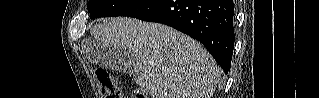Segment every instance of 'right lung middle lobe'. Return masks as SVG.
Here are the masks:
<instances>
[{"mask_svg":"<svg viewBox=\"0 0 319 98\" xmlns=\"http://www.w3.org/2000/svg\"><path fill=\"white\" fill-rule=\"evenodd\" d=\"M146 0H89L90 18L119 16Z\"/></svg>","mask_w":319,"mask_h":98,"instance_id":"1","label":"right lung middle lobe"}]
</instances>
